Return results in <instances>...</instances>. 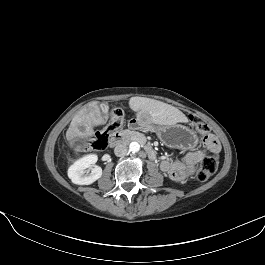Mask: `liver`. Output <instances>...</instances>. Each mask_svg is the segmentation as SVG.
Returning a JSON list of instances; mask_svg holds the SVG:
<instances>
[{
	"label": "liver",
	"mask_w": 265,
	"mask_h": 265,
	"mask_svg": "<svg viewBox=\"0 0 265 265\" xmlns=\"http://www.w3.org/2000/svg\"><path fill=\"white\" fill-rule=\"evenodd\" d=\"M129 107L136 112L138 120H145L156 125H174L187 123L188 118L176 107L164 102L146 98L131 97ZM103 117L97 102H90L83 106L73 117L66 132L68 139L75 137L88 139L94 134V126L102 123Z\"/></svg>",
	"instance_id": "6515ba94"
}]
</instances>
